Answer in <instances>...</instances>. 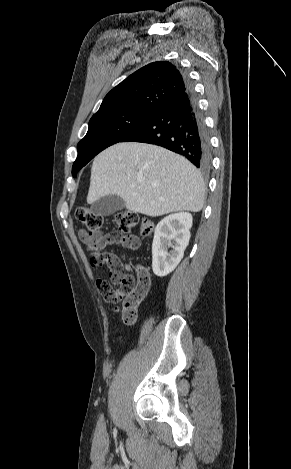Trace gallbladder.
<instances>
[{
  "mask_svg": "<svg viewBox=\"0 0 291 469\" xmlns=\"http://www.w3.org/2000/svg\"><path fill=\"white\" fill-rule=\"evenodd\" d=\"M124 208V200L120 196L114 194L100 197L91 205L92 212L100 216H110Z\"/></svg>",
  "mask_w": 291,
  "mask_h": 469,
  "instance_id": "1",
  "label": "gallbladder"
}]
</instances>
